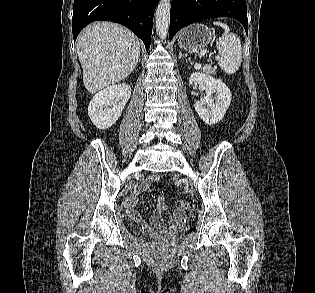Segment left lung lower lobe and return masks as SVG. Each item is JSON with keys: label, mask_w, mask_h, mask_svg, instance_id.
<instances>
[{"label": "left lung lower lobe", "mask_w": 315, "mask_h": 293, "mask_svg": "<svg viewBox=\"0 0 315 293\" xmlns=\"http://www.w3.org/2000/svg\"><path fill=\"white\" fill-rule=\"evenodd\" d=\"M215 17L234 18L244 26L248 33L245 0H172L170 40L182 27Z\"/></svg>", "instance_id": "left-lung-lower-lobe-1"}]
</instances>
